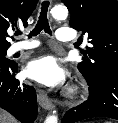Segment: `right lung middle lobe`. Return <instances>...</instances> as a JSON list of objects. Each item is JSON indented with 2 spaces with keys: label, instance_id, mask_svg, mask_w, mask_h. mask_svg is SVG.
<instances>
[{
  "label": "right lung middle lobe",
  "instance_id": "1",
  "mask_svg": "<svg viewBox=\"0 0 118 123\" xmlns=\"http://www.w3.org/2000/svg\"><path fill=\"white\" fill-rule=\"evenodd\" d=\"M7 50H0V65L9 64V60L5 57Z\"/></svg>",
  "mask_w": 118,
  "mask_h": 123
}]
</instances>
